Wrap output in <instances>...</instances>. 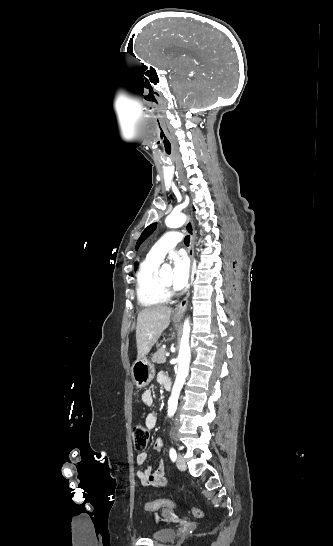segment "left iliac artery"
Segmentation results:
<instances>
[{"label": "left iliac artery", "mask_w": 333, "mask_h": 546, "mask_svg": "<svg viewBox=\"0 0 333 546\" xmlns=\"http://www.w3.org/2000/svg\"><path fill=\"white\" fill-rule=\"evenodd\" d=\"M169 456H170L172 461H175L176 458H177V453H176L175 449L172 448V447L169 450Z\"/></svg>", "instance_id": "1"}]
</instances>
